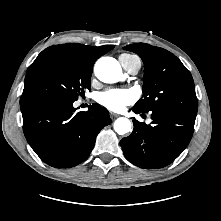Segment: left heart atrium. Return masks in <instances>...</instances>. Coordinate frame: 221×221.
<instances>
[{"mask_svg": "<svg viewBox=\"0 0 221 221\" xmlns=\"http://www.w3.org/2000/svg\"><path fill=\"white\" fill-rule=\"evenodd\" d=\"M137 99L136 92L130 88H112L98 95V102L110 111L121 112Z\"/></svg>", "mask_w": 221, "mask_h": 221, "instance_id": "39dd6f15", "label": "left heart atrium"}]
</instances>
